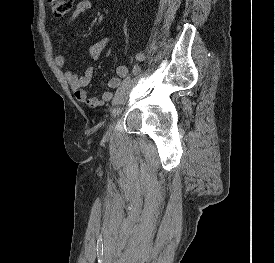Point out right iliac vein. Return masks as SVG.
I'll return each instance as SVG.
<instances>
[{"instance_id": "1", "label": "right iliac vein", "mask_w": 275, "mask_h": 263, "mask_svg": "<svg viewBox=\"0 0 275 263\" xmlns=\"http://www.w3.org/2000/svg\"><path fill=\"white\" fill-rule=\"evenodd\" d=\"M140 76L135 77L130 83L122 90V92L116 96L112 102L111 117L115 118L121 111V106L125 103L132 87L138 82ZM112 126L108 128L105 134V138H109L111 134Z\"/></svg>"}]
</instances>
